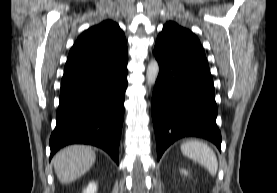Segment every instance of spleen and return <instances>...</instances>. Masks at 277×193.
<instances>
[{
  "label": "spleen",
  "mask_w": 277,
  "mask_h": 193,
  "mask_svg": "<svg viewBox=\"0 0 277 193\" xmlns=\"http://www.w3.org/2000/svg\"><path fill=\"white\" fill-rule=\"evenodd\" d=\"M181 151L186 157L200 163L211 175H216L218 160L215 152L205 143L197 140L184 142Z\"/></svg>",
  "instance_id": "3e777b00"
}]
</instances>
